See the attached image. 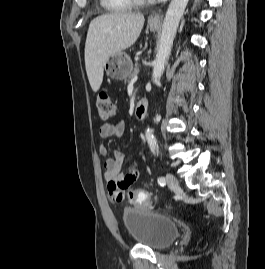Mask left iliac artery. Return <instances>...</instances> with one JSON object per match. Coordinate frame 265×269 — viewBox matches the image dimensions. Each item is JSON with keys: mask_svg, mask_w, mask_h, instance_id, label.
Segmentation results:
<instances>
[{"mask_svg": "<svg viewBox=\"0 0 265 269\" xmlns=\"http://www.w3.org/2000/svg\"><path fill=\"white\" fill-rule=\"evenodd\" d=\"M158 184L164 186L166 184V180L163 176L158 178Z\"/></svg>", "mask_w": 265, "mask_h": 269, "instance_id": "obj_1", "label": "left iliac artery"}]
</instances>
